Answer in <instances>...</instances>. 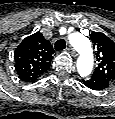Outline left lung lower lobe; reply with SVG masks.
<instances>
[{"mask_svg": "<svg viewBox=\"0 0 115 119\" xmlns=\"http://www.w3.org/2000/svg\"><path fill=\"white\" fill-rule=\"evenodd\" d=\"M110 82L98 75H92L88 80L84 81V85L93 90H103L109 86Z\"/></svg>", "mask_w": 115, "mask_h": 119, "instance_id": "obj_1", "label": "left lung lower lobe"}]
</instances>
